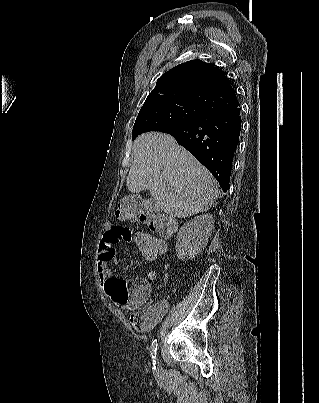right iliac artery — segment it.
<instances>
[{"mask_svg": "<svg viewBox=\"0 0 319 403\" xmlns=\"http://www.w3.org/2000/svg\"><path fill=\"white\" fill-rule=\"evenodd\" d=\"M157 339H154L151 344V358L153 361V369L156 370V353H157Z\"/></svg>", "mask_w": 319, "mask_h": 403, "instance_id": "1", "label": "right iliac artery"}]
</instances>
